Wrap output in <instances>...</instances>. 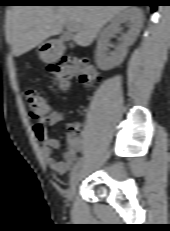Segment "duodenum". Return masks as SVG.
<instances>
[{"instance_id": "1", "label": "duodenum", "mask_w": 170, "mask_h": 231, "mask_svg": "<svg viewBox=\"0 0 170 231\" xmlns=\"http://www.w3.org/2000/svg\"><path fill=\"white\" fill-rule=\"evenodd\" d=\"M60 52H61L60 49H56V50H55V53H56V54H59Z\"/></svg>"}]
</instances>
